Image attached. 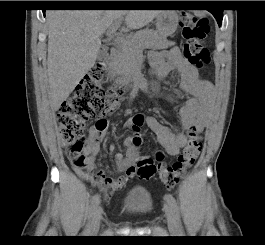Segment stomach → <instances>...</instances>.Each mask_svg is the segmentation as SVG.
<instances>
[{"label": "stomach", "mask_w": 265, "mask_h": 245, "mask_svg": "<svg viewBox=\"0 0 265 245\" xmlns=\"http://www.w3.org/2000/svg\"><path fill=\"white\" fill-rule=\"evenodd\" d=\"M179 23L178 14L175 11H164L156 17V29L163 37L171 36Z\"/></svg>", "instance_id": "stomach-1"}]
</instances>
